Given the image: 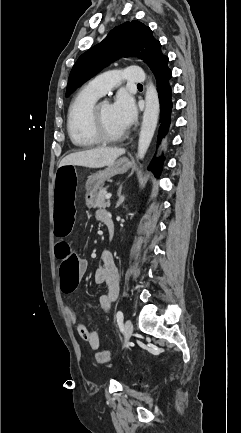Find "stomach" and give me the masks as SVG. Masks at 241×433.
I'll use <instances>...</instances> for the list:
<instances>
[{
	"label": "stomach",
	"mask_w": 241,
	"mask_h": 433,
	"mask_svg": "<svg viewBox=\"0 0 241 433\" xmlns=\"http://www.w3.org/2000/svg\"><path fill=\"white\" fill-rule=\"evenodd\" d=\"M131 167V162L126 157H122L110 164L105 170L90 176L86 181L85 200L88 207H92L97 191L104 185L109 178L127 172Z\"/></svg>",
	"instance_id": "0dacf381"
}]
</instances>
